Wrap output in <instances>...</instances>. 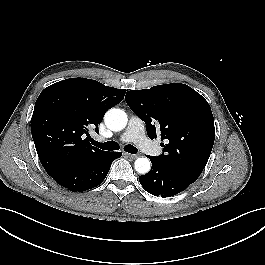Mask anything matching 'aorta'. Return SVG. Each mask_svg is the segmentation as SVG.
I'll return each instance as SVG.
<instances>
[{
    "label": "aorta",
    "instance_id": "obj_1",
    "mask_svg": "<svg viewBox=\"0 0 265 265\" xmlns=\"http://www.w3.org/2000/svg\"><path fill=\"white\" fill-rule=\"evenodd\" d=\"M104 121L112 131H120L126 127L128 118L123 110L113 108L106 112ZM134 164L135 170L140 174H146L150 171L151 163L148 158H137Z\"/></svg>",
    "mask_w": 265,
    "mask_h": 265
}]
</instances>
